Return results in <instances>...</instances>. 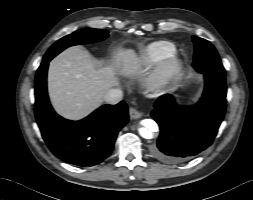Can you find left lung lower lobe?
Wrapping results in <instances>:
<instances>
[{"mask_svg": "<svg viewBox=\"0 0 253 200\" xmlns=\"http://www.w3.org/2000/svg\"><path fill=\"white\" fill-rule=\"evenodd\" d=\"M205 88L200 101L190 107L176 104L170 94L157 99L151 116L160 127L151 154L167 163L183 162L210 146L224 118L226 78L203 73Z\"/></svg>", "mask_w": 253, "mask_h": 200, "instance_id": "1", "label": "left lung lower lobe"}]
</instances>
